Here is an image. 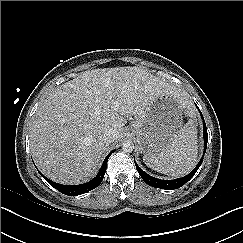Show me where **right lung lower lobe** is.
Masks as SVG:
<instances>
[{"label": "right lung lower lobe", "instance_id": "right-lung-lower-lobe-1", "mask_svg": "<svg viewBox=\"0 0 243 243\" xmlns=\"http://www.w3.org/2000/svg\"><path fill=\"white\" fill-rule=\"evenodd\" d=\"M115 150L111 151L105 158L98 174L96 175V177L94 179H92L91 181L85 183V184H81V185H61L58 183H55L51 180H49L48 178H46L39 170L38 172L40 173V175L55 189H57L59 192L68 195V196H77V195H81L84 194L90 190H93L94 188H96L103 180V177L105 175L106 172V167H107V162L108 159L110 157V155L114 152Z\"/></svg>", "mask_w": 243, "mask_h": 243}]
</instances>
